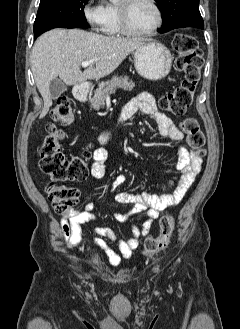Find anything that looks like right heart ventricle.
Returning a JSON list of instances; mask_svg holds the SVG:
<instances>
[{"mask_svg":"<svg viewBox=\"0 0 240 329\" xmlns=\"http://www.w3.org/2000/svg\"><path fill=\"white\" fill-rule=\"evenodd\" d=\"M101 30L105 35L110 37L123 35L120 27L118 4L108 3L105 6V20Z\"/></svg>","mask_w":240,"mask_h":329,"instance_id":"right-heart-ventricle-1","label":"right heart ventricle"}]
</instances>
